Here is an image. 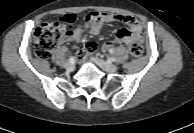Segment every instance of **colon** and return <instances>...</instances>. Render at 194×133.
<instances>
[{
  "label": "colon",
  "mask_w": 194,
  "mask_h": 133,
  "mask_svg": "<svg viewBox=\"0 0 194 133\" xmlns=\"http://www.w3.org/2000/svg\"><path fill=\"white\" fill-rule=\"evenodd\" d=\"M77 21V17L73 14H67L58 21L41 24L34 38V52L40 59H46L50 56L53 48L58 44L61 38L66 34L67 28L72 27ZM98 49L95 41H89L84 50L79 53V59L84 60L89 54ZM142 53V46L133 43L130 46V54L133 58H138Z\"/></svg>",
  "instance_id": "5ec220e1"
}]
</instances>
